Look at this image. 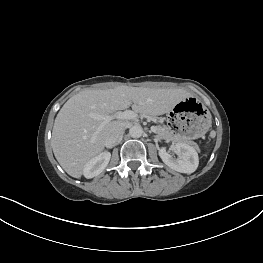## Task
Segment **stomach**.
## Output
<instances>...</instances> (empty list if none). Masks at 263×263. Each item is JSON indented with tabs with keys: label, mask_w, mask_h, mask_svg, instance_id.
I'll use <instances>...</instances> for the list:
<instances>
[{
	"label": "stomach",
	"mask_w": 263,
	"mask_h": 263,
	"mask_svg": "<svg viewBox=\"0 0 263 263\" xmlns=\"http://www.w3.org/2000/svg\"><path fill=\"white\" fill-rule=\"evenodd\" d=\"M174 131L182 138L196 140L204 137L211 129L213 116L210 108L202 101L186 98L169 112Z\"/></svg>",
	"instance_id": "1"
}]
</instances>
